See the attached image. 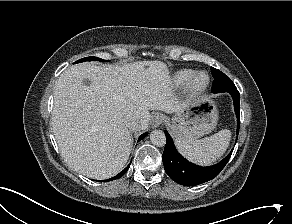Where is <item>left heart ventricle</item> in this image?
<instances>
[{"mask_svg":"<svg viewBox=\"0 0 292 224\" xmlns=\"http://www.w3.org/2000/svg\"><path fill=\"white\" fill-rule=\"evenodd\" d=\"M205 80V77H202L201 79H200V81H204Z\"/></svg>","mask_w":292,"mask_h":224,"instance_id":"b2bd125f","label":"left heart ventricle"}]
</instances>
